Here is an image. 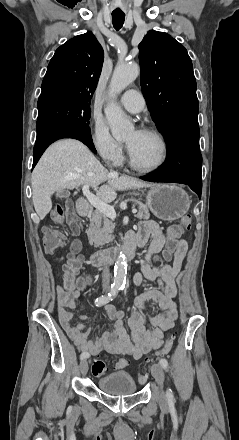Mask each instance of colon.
I'll return each instance as SVG.
<instances>
[{"instance_id":"1","label":"colon","mask_w":239,"mask_h":440,"mask_svg":"<svg viewBox=\"0 0 239 440\" xmlns=\"http://www.w3.org/2000/svg\"><path fill=\"white\" fill-rule=\"evenodd\" d=\"M53 219L57 222H64L66 221L73 230L79 231L80 229V220L79 217L74 210L73 205L68 202L65 206H59L55 209L53 213ZM191 216L190 215H184L180 219V223L178 225H173L169 229L168 239H167V251L172 252L173 249L177 245V240L182 234L184 229H190L191 227ZM43 243L44 248L47 253H53L60 245H61V235L53 230V229H46L44 231L43 235ZM78 249V245L74 247V251ZM82 266L81 259L78 258L74 253H72L67 261V263L64 265V272L69 278L75 279L77 274L79 273ZM174 340V334H171L167 337L165 344L162 348L155 351L153 354H151L148 358H146V361H153L156 360L159 357H162L169 353V351L172 348ZM117 366L119 368H124L127 364L126 360H120L117 361ZM92 373L95 376H102L108 373V366L107 364L99 359H94L92 363ZM146 379L145 373L139 374V381L143 382Z\"/></svg>"}]
</instances>
